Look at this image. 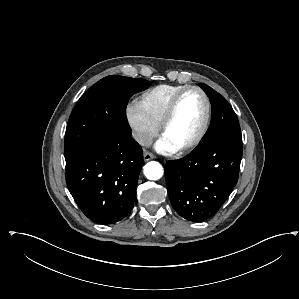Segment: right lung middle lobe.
<instances>
[{"instance_id":"1","label":"right lung middle lobe","mask_w":299,"mask_h":299,"mask_svg":"<svg viewBox=\"0 0 299 299\" xmlns=\"http://www.w3.org/2000/svg\"><path fill=\"white\" fill-rule=\"evenodd\" d=\"M144 79L110 75L95 83L79 100L68 120L64 153L68 161L95 142L131 134L126 117L130 97L150 86Z\"/></svg>"}]
</instances>
